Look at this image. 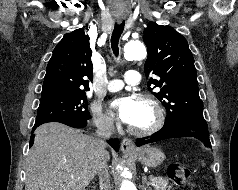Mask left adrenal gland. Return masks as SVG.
<instances>
[{"instance_id": "obj_1", "label": "left adrenal gland", "mask_w": 238, "mask_h": 190, "mask_svg": "<svg viewBox=\"0 0 238 190\" xmlns=\"http://www.w3.org/2000/svg\"><path fill=\"white\" fill-rule=\"evenodd\" d=\"M142 187H143V190H151V188H149V182L147 180V177L144 175L143 178H142Z\"/></svg>"}]
</instances>
